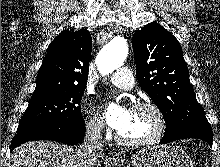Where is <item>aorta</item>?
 <instances>
[{
	"instance_id": "obj_1",
	"label": "aorta",
	"mask_w": 220,
	"mask_h": 167,
	"mask_svg": "<svg viewBox=\"0 0 220 167\" xmlns=\"http://www.w3.org/2000/svg\"><path fill=\"white\" fill-rule=\"evenodd\" d=\"M128 55V45L121 37L106 44L96 58L99 72L105 76L123 65Z\"/></svg>"
}]
</instances>
